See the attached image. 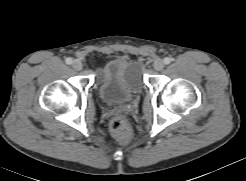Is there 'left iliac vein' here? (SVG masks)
Returning <instances> with one entry per match:
<instances>
[{"instance_id":"1","label":"left iliac vein","mask_w":246,"mask_h":181,"mask_svg":"<svg viewBox=\"0 0 246 181\" xmlns=\"http://www.w3.org/2000/svg\"><path fill=\"white\" fill-rule=\"evenodd\" d=\"M164 66H165V63H164V61L161 60V59H157V60H155V62L153 63V67H154V69L157 70V71L162 70V69L164 68Z\"/></svg>"}]
</instances>
